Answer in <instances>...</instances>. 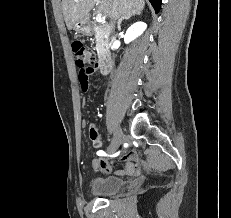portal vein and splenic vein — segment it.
<instances>
[{"label":"portal vein and splenic vein","instance_id":"1","mask_svg":"<svg viewBox=\"0 0 231 218\" xmlns=\"http://www.w3.org/2000/svg\"><path fill=\"white\" fill-rule=\"evenodd\" d=\"M96 3H99V0H94ZM105 21V17L104 16H102V14H97L96 15V22H98V23H102V22H104Z\"/></svg>","mask_w":231,"mask_h":218}]
</instances>
